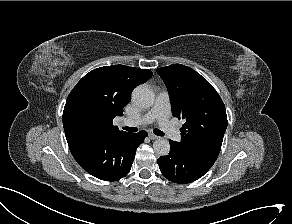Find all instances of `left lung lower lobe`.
Wrapping results in <instances>:
<instances>
[{"instance_id": "left-lung-lower-lobe-1", "label": "left lung lower lobe", "mask_w": 292, "mask_h": 224, "mask_svg": "<svg viewBox=\"0 0 292 224\" xmlns=\"http://www.w3.org/2000/svg\"><path fill=\"white\" fill-rule=\"evenodd\" d=\"M169 155L158 158L160 171L174 183L187 184L201 178L212 165L198 156L184 150L175 141L170 140Z\"/></svg>"}]
</instances>
